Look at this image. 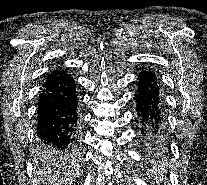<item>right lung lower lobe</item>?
I'll list each match as a JSON object with an SVG mask.
<instances>
[{
    "label": "right lung lower lobe",
    "instance_id": "98d812e1",
    "mask_svg": "<svg viewBox=\"0 0 207 185\" xmlns=\"http://www.w3.org/2000/svg\"><path fill=\"white\" fill-rule=\"evenodd\" d=\"M73 78L64 74L47 79L37 103L39 144L73 149L80 136L81 110Z\"/></svg>",
    "mask_w": 207,
    "mask_h": 185
}]
</instances>
